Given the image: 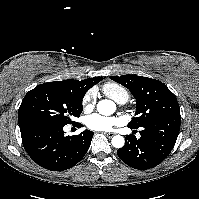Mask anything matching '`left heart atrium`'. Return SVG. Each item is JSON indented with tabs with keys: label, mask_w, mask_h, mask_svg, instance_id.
Instances as JSON below:
<instances>
[{
	"label": "left heart atrium",
	"mask_w": 199,
	"mask_h": 199,
	"mask_svg": "<svg viewBox=\"0 0 199 199\" xmlns=\"http://www.w3.org/2000/svg\"><path fill=\"white\" fill-rule=\"evenodd\" d=\"M119 124V120L114 117H105L100 114H92L87 117L86 125L97 131H108Z\"/></svg>",
	"instance_id": "left-heart-atrium-1"
}]
</instances>
